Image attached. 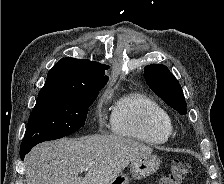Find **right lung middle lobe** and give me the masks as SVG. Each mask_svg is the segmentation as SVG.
I'll return each mask as SVG.
<instances>
[{
    "label": "right lung middle lobe",
    "mask_w": 224,
    "mask_h": 184,
    "mask_svg": "<svg viewBox=\"0 0 224 184\" xmlns=\"http://www.w3.org/2000/svg\"><path fill=\"white\" fill-rule=\"evenodd\" d=\"M98 92L77 95H39L29 116L21 148L59 139L79 130L84 126L88 108Z\"/></svg>",
    "instance_id": "obj_1"
}]
</instances>
